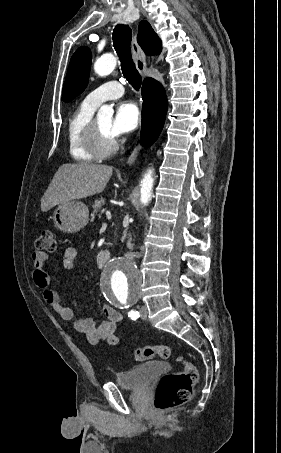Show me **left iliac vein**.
<instances>
[{
	"instance_id": "4c4485c4",
	"label": "left iliac vein",
	"mask_w": 281,
	"mask_h": 453,
	"mask_svg": "<svg viewBox=\"0 0 281 453\" xmlns=\"http://www.w3.org/2000/svg\"><path fill=\"white\" fill-rule=\"evenodd\" d=\"M139 313H140L141 317H143V318H146V319H147V317H148V314L146 313V306H145V307H141V310H140V312H139Z\"/></svg>"
}]
</instances>
